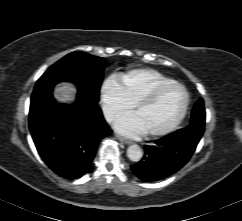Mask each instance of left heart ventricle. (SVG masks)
Instances as JSON below:
<instances>
[{"label": "left heart ventricle", "mask_w": 242, "mask_h": 221, "mask_svg": "<svg viewBox=\"0 0 242 221\" xmlns=\"http://www.w3.org/2000/svg\"><path fill=\"white\" fill-rule=\"evenodd\" d=\"M184 103V93L176 86L162 90L148 105L134 112L145 132L159 131L172 123L179 115Z\"/></svg>", "instance_id": "1"}]
</instances>
